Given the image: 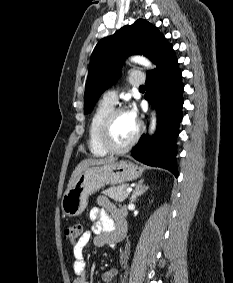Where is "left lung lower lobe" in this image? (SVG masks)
I'll return each mask as SVG.
<instances>
[{
  "instance_id": "obj_1",
  "label": "left lung lower lobe",
  "mask_w": 233,
  "mask_h": 283,
  "mask_svg": "<svg viewBox=\"0 0 233 283\" xmlns=\"http://www.w3.org/2000/svg\"><path fill=\"white\" fill-rule=\"evenodd\" d=\"M156 66L147 72L145 98L155 105L158 128L152 137L142 136L131 155L149 166L168 169L177 177L175 140L183 117L184 85L172 47Z\"/></svg>"
}]
</instances>
